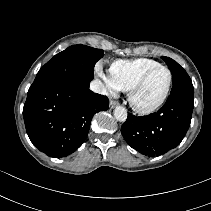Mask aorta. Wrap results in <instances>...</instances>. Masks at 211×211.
Here are the masks:
<instances>
[{"label":"aorta","instance_id":"1","mask_svg":"<svg viewBox=\"0 0 211 211\" xmlns=\"http://www.w3.org/2000/svg\"><path fill=\"white\" fill-rule=\"evenodd\" d=\"M114 116L118 121L124 122L127 119V110L122 106H118L114 110Z\"/></svg>","mask_w":211,"mask_h":211}]
</instances>
